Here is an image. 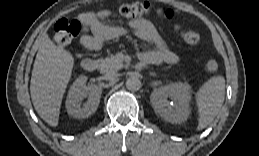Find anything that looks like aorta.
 Masks as SVG:
<instances>
[{
  "mask_svg": "<svg viewBox=\"0 0 259 156\" xmlns=\"http://www.w3.org/2000/svg\"><path fill=\"white\" fill-rule=\"evenodd\" d=\"M141 87V82L137 77H129L126 80V88L130 91H137Z\"/></svg>",
  "mask_w": 259,
  "mask_h": 156,
  "instance_id": "762f6f07",
  "label": "aorta"
}]
</instances>
